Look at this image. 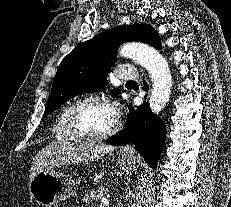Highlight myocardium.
<instances>
[{"label":"myocardium","mask_w":231,"mask_h":207,"mask_svg":"<svg viewBox=\"0 0 231 207\" xmlns=\"http://www.w3.org/2000/svg\"><path fill=\"white\" fill-rule=\"evenodd\" d=\"M89 102L104 104L108 106L114 112V115H115L114 122L107 131L103 133H99V134H89L85 132L84 130H82L80 126L78 125L76 121V112L79 109V107ZM66 119H67V125H68L69 131L78 140L85 141V142H99V141L106 140L110 138L111 136L115 135L121 127V121H120L119 115L115 111L110 100L106 98L105 96L97 95V94L86 95L74 101L70 105L67 111Z\"/></svg>","instance_id":"myocardium-1"}]
</instances>
